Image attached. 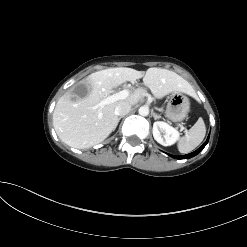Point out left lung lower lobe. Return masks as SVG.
I'll use <instances>...</instances> for the list:
<instances>
[{
	"instance_id": "left-lung-lower-lobe-1",
	"label": "left lung lower lobe",
	"mask_w": 247,
	"mask_h": 247,
	"mask_svg": "<svg viewBox=\"0 0 247 247\" xmlns=\"http://www.w3.org/2000/svg\"><path fill=\"white\" fill-rule=\"evenodd\" d=\"M208 141H209V136H208L207 140L204 142V144L200 148H198L196 151H194L192 153H189L187 155L175 156V155H170L169 154V156H171V157H173L175 159H189V158H191V157L199 154L203 150V148L206 146V144L208 143Z\"/></svg>"
}]
</instances>
